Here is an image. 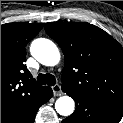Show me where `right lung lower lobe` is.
Masks as SVG:
<instances>
[{"label":"right lung lower lobe","mask_w":123,"mask_h":123,"mask_svg":"<svg viewBox=\"0 0 123 123\" xmlns=\"http://www.w3.org/2000/svg\"><path fill=\"white\" fill-rule=\"evenodd\" d=\"M53 96V91L50 87H47L44 94L38 100V102L32 106L29 110L19 115L16 119L9 121L8 123H34L35 115L38 108L46 103Z\"/></svg>","instance_id":"obj_1"}]
</instances>
